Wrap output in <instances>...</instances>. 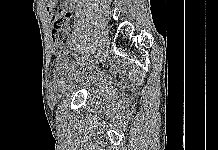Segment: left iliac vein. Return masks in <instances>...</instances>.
<instances>
[{"mask_svg":"<svg viewBox=\"0 0 218 150\" xmlns=\"http://www.w3.org/2000/svg\"><path fill=\"white\" fill-rule=\"evenodd\" d=\"M82 76L85 74L83 71L80 73ZM79 73L76 74V73H73L72 74V77L70 76L68 79V81L65 83L64 87H63V90H62V93L63 94H66L68 92V88L69 86L72 85L73 81H76L77 80V77L79 78L81 75Z\"/></svg>","mask_w":218,"mask_h":150,"instance_id":"left-iliac-vein-1","label":"left iliac vein"}]
</instances>
